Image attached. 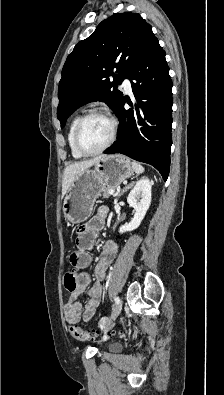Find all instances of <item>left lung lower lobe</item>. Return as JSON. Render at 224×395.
<instances>
[{
	"label": "left lung lower lobe",
	"mask_w": 224,
	"mask_h": 395,
	"mask_svg": "<svg viewBox=\"0 0 224 395\" xmlns=\"http://www.w3.org/2000/svg\"><path fill=\"white\" fill-rule=\"evenodd\" d=\"M136 99L129 110L125 98L115 114L119 118L118 140L104 151L121 153L154 166L166 181L172 144V80L165 52L156 40L139 59L128 77Z\"/></svg>",
	"instance_id": "obj_1"
}]
</instances>
